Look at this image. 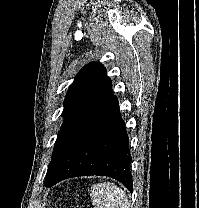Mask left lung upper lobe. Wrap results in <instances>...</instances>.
<instances>
[{"instance_id":"5c2ea615","label":"left lung upper lobe","mask_w":199,"mask_h":208,"mask_svg":"<svg viewBox=\"0 0 199 208\" xmlns=\"http://www.w3.org/2000/svg\"><path fill=\"white\" fill-rule=\"evenodd\" d=\"M112 96V82L100 63L84 66L69 87L64 101V122L52 153L45 183L50 178L58 153L74 130Z\"/></svg>"}]
</instances>
